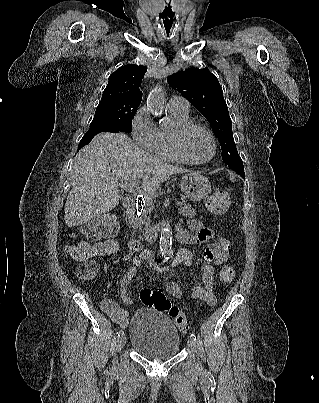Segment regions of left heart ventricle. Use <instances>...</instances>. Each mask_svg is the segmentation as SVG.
<instances>
[{
  "mask_svg": "<svg viewBox=\"0 0 319 403\" xmlns=\"http://www.w3.org/2000/svg\"><path fill=\"white\" fill-rule=\"evenodd\" d=\"M184 145L187 154L194 160L202 161L212 154V144L208 135L198 128L187 133Z\"/></svg>",
  "mask_w": 319,
  "mask_h": 403,
  "instance_id": "obj_1",
  "label": "left heart ventricle"
}]
</instances>
